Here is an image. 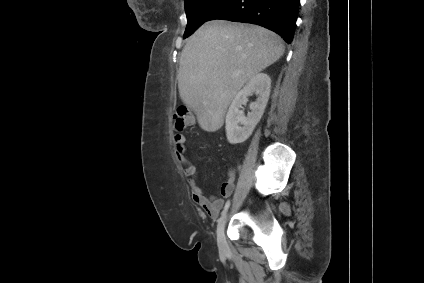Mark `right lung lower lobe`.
<instances>
[{"label":"right lung lower lobe","instance_id":"1","mask_svg":"<svg viewBox=\"0 0 424 283\" xmlns=\"http://www.w3.org/2000/svg\"><path fill=\"white\" fill-rule=\"evenodd\" d=\"M300 0H229L210 20L252 23L278 33L291 43Z\"/></svg>","mask_w":424,"mask_h":283}]
</instances>
